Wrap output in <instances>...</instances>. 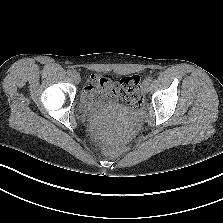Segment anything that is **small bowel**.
Listing matches in <instances>:
<instances>
[{
    "label": "small bowel",
    "instance_id": "c3829d8e",
    "mask_svg": "<svg viewBox=\"0 0 223 223\" xmlns=\"http://www.w3.org/2000/svg\"><path fill=\"white\" fill-rule=\"evenodd\" d=\"M110 76L92 75L89 83L84 88V93L90 100L104 99L116 101L121 93Z\"/></svg>",
    "mask_w": 223,
    "mask_h": 223
}]
</instances>
